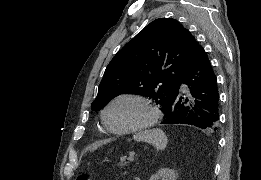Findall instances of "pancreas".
I'll return each mask as SVG.
<instances>
[{"mask_svg": "<svg viewBox=\"0 0 261 180\" xmlns=\"http://www.w3.org/2000/svg\"><path fill=\"white\" fill-rule=\"evenodd\" d=\"M129 164V162L126 159H119L118 162L116 163L117 170H124V167Z\"/></svg>", "mask_w": 261, "mask_h": 180, "instance_id": "pancreas-1", "label": "pancreas"}]
</instances>
